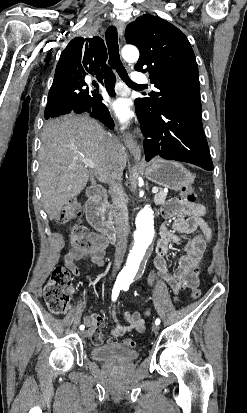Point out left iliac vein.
I'll return each mask as SVG.
<instances>
[{"mask_svg":"<svg viewBox=\"0 0 247 413\" xmlns=\"http://www.w3.org/2000/svg\"><path fill=\"white\" fill-rule=\"evenodd\" d=\"M152 331L153 332H158L159 331V326L158 325H153L152 326Z\"/></svg>","mask_w":247,"mask_h":413,"instance_id":"1","label":"left iliac vein"}]
</instances>
